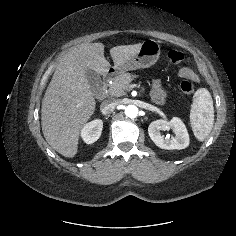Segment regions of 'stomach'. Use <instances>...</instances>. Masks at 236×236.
Instances as JSON below:
<instances>
[{
    "label": "stomach",
    "mask_w": 236,
    "mask_h": 236,
    "mask_svg": "<svg viewBox=\"0 0 236 236\" xmlns=\"http://www.w3.org/2000/svg\"><path fill=\"white\" fill-rule=\"evenodd\" d=\"M160 45L156 40L149 39L141 44L140 50L126 63L114 67L116 73L148 68L154 65L160 56Z\"/></svg>",
    "instance_id": "obj_1"
}]
</instances>
